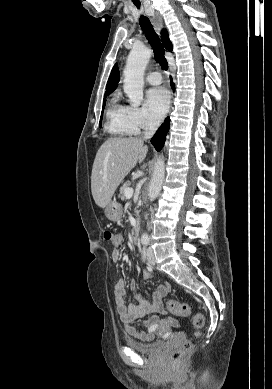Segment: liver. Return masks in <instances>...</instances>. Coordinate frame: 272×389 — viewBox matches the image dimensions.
Returning a JSON list of instances; mask_svg holds the SVG:
<instances>
[{
  "label": "liver",
  "instance_id": "1",
  "mask_svg": "<svg viewBox=\"0 0 272 389\" xmlns=\"http://www.w3.org/2000/svg\"><path fill=\"white\" fill-rule=\"evenodd\" d=\"M148 152L142 138H110L99 148L92 168L91 191L95 203L105 208L117 187Z\"/></svg>",
  "mask_w": 272,
  "mask_h": 389
}]
</instances>
